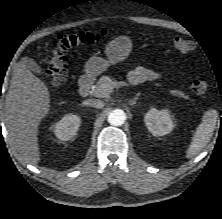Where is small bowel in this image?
Masks as SVG:
<instances>
[{
	"label": "small bowel",
	"instance_id": "small-bowel-1",
	"mask_svg": "<svg viewBox=\"0 0 222 219\" xmlns=\"http://www.w3.org/2000/svg\"><path fill=\"white\" fill-rule=\"evenodd\" d=\"M159 77V74L144 66L138 65L134 67L129 73V81L133 85L144 83L146 81H153Z\"/></svg>",
	"mask_w": 222,
	"mask_h": 219
}]
</instances>
